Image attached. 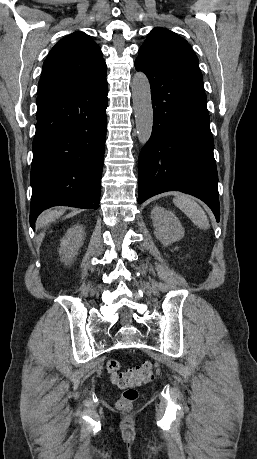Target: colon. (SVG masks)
Wrapping results in <instances>:
<instances>
[{
    "label": "colon",
    "mask_w": 257,
    "mask_h": 459,
    "mask_svg": "<svg viewBox=\"0 0 257 459\" xmlns=\"http://www.w3.org/2000/svg\"><path fill=\"white\" fill-rule=\"evenodd\" d=\"M106 368L112 382L124 390L122 396L117 401V407L120 410L126 411L131 409L133 403L138 398L136 388L153 378V366L149 361L121 372L120 362L117 359H109L106 363Z\"/></svg>",
    "instance_id": "obj_1"
}]
</instances>
